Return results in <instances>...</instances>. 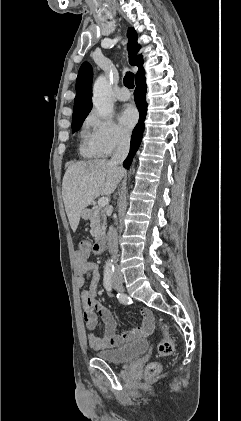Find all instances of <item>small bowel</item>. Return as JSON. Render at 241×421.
Segmentation results:
<instances>
[{"mask_svg": "<svg viewBox=\"0 0 241 421\" xmlns=\"http://www.w3.org/2000/svg\"><path fill=\"white\" fill-rule=\"evenodd\" d=\"M76 266L79 287H83L87 282L89 284L88 288L81 292V308L86 328L91 332L88 335V344L92 349L99 351L114 348L136 338L148 336L154 331L155 320L152 312L147 308H141V326L118 334L112 311L97 299V287L100 280L98 264L78 253ZM97 314L104 323L103 336L92 333L97 327Z\"/></svg>", "mask_w": 241, "mask_h": 421, "instance_id": "obj_1", "label": "small bowel"}]
</instances>
